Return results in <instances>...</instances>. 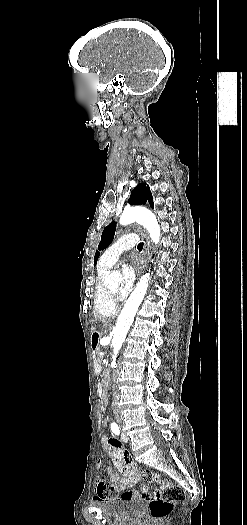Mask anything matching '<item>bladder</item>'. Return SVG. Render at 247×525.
<instances>
[{
    "mask_svg": "<svg viewBox=\"0 0 247 525\" xmlns=\"http://www.w3.org/2000/svg\"><path fill=\"white\" fill-rule=\"evenodd\" d=\"M92 505L107 517L125 518L128 515L141 512L143 498L133 500L127 498H106L100 501H94Z\"/></svg>",
    "mask_w": 247,
    "mask_h": 525,
    "instance_id": "1",
    "label": "bladder"
}]
</instances>
